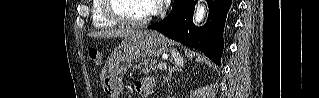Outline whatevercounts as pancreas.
<instances>
[{"label": "pancreas", "mask_w": 319, "mask_h": 98, "mask_svg": "<svg viewBox=\"0 0 319 98\" xmlns=\"http://www.w3.org/2000/svg\"><path fill=\"white\" fill-rule=\"evenodd\" d=\"M135 68L145 74H148L151 70H155V61L153 60H142Z\"/></svg>", "instance_id": "cf45deb5"}]
</instances>
